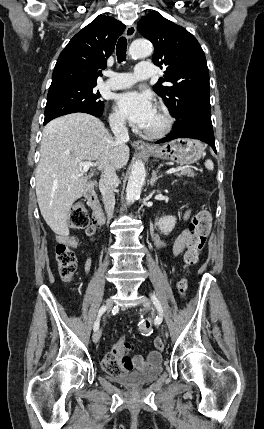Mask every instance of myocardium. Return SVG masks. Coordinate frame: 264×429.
I'll return each instance as SVG.
<instances>
[{
    "mask_svg": "<svg viewBox=\"0 0 264 429\" xmlns=\"http://www.w3.org/2000/svg\"><path fill=\"white\" fill-rule=\"evenodd\" d=\"M157 113L160 115V117L162 118V125L160 128L156 129V130H147L144 129L142 131L143 135L147 138L150 139H158V138H162L165 135H167L172 126H173V118L171 116V114L169 113V111L164 108V107H159L157 109Z\"/></svg>",
    "mask_w": 264,
    "mask_h": 429,
    "instance_id": "1",
    "label": "myocardium"
}]
</instances>
